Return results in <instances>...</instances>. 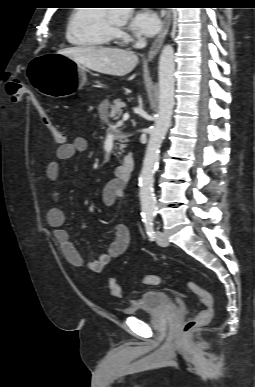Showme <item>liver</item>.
Segmentation results:
<instances>
[{
	"label": "liver",
	"mask_w": 255,
	"mask_h": 387,
	"mask_svg": "<svg viewBox=\"0 0 255 387\" xmlns=\"http://www.w3.org/2000/svg\"><path fill=\"white\" fill-rule=\"evenodd\" d=\"M57 54L66 56L88 69L106 75L125 76L138 64V56L119 48L72 47L61 49Z\"/></svg>",
	"instance_id": "liver-1"
}]
</instances>
